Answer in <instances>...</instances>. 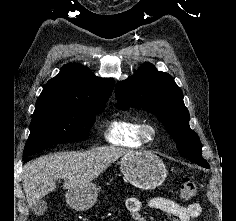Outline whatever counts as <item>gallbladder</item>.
<instances>
[{
  "mask_svg": "<svg viewBox=\"0 0 236 221\" xmlns=\"http://www.w3.org/2000/svg\"><path fill=\"white\" fill-rule=\"evenodd\" d=\"M32 210L35 215L41 216L47 211V203L44 200L39 199L33 204Z\"/></svg>",
  "mask_w": 236,
  "mask_h": 221,
  "instance_id": "gallbladder-1",
  "label": "gallbladder"
}]
</instances>
